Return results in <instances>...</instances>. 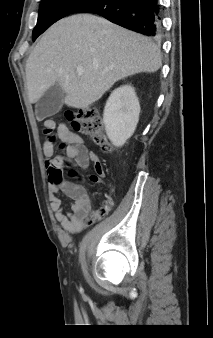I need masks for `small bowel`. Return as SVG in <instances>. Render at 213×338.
I'll return each instance as SVG.
<instances>
[{
	"instance_id": "obj_1",
	"label": "small bowel",
	"mask_w": 213,
	"mask_h": 338,
	"mask_svg": "<svg viewBox=\"0 0 213 338\" xmlns=\"http://www.w3.org/2000/svg\"><path fill=\"white\" fill-rule=\"evenodd\" d=\"M54 131H56L54 133ZM45 136L43 151L45 155V166L48 167L51 160H55L59 166L64 163L87 168L92 162L94 166L101 165L95 152H91L83 144L81 137L72 132L65 124L56 126L53 120H45L43 124ZM59 140L65 144V153L57 154L55 141ZM50 208L55 213L61 227L69 233L79 232L88 223L93 221V212L90 211L91 197L87 189L80 184L69 180H63L59 184L49 187ZM58 195L70 200V211L65 212L62 208ZM104 200L113 203V199L107 196Z\"/></svg>"
}]
</instances>
